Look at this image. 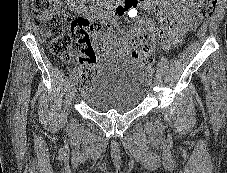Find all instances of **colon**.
Segmentation results:
<instances>
[{
  "label": "colon",
  "instance_id": "5ec220e1",
  "mask_svg": "<svg viewBox=\"0 0 227 173\" xmlns=\"http://www.w3.org/2000/svg\"><path fill=\"white\" fill-rule=\"evenodd\" d=\"M217 0H199L198 11L204 17L211 16ZM32 9L36 24L44 39L49 43L50 51L68 62L73 58L74 52L78 59L92 61L95 50L91 36H102L110 32L109 26L99 20L86 18H72L61 8V0H32ZM132 57L148 66L153 63L150 46L140 51H133ZM94 70L91 66L83 69V86L92 78Z\"/></svg>",
  "mask_w": 227,
  "mask_h": 173
}]
</instances>
